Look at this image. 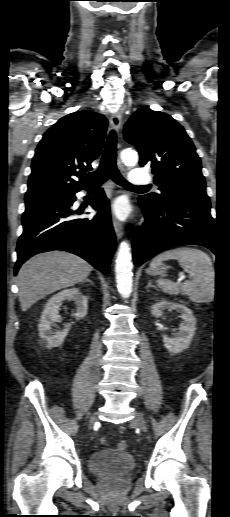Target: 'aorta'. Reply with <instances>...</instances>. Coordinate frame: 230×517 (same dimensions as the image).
Listing matches in <instances>:
<instances>
[{
  "mask_svg": "<svg viewBox=\"0 0 230 517\" xmlns=\"http://www.w3.org/2000/svg\"><path fill=\"white\" fill-rule=\"evenodd\" d=\"M121 159L124 164L134 166L138 162V154L134 150L125 149L121 152ZM130 250L129 243L127 241L122 242L120 244L115 263L117 288L124 298H128L131 295L133 285Z\"/></svg>",
  "mask_w": 230,
  "mask_h": 517,
  "instance_id": "obj_1",
  "label": "aorta"
}]
</instances>
